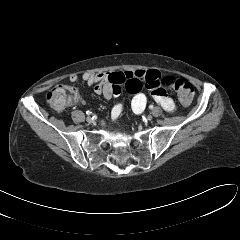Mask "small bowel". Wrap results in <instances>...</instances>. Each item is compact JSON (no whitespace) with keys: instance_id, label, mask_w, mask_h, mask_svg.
<instances>
[{"instance_id":"c3829d8e","label":"small bowel","mask_w":240,"mask_h":240,"mask_svg":"<svg viewBox=\"0 0 240 240\" xmlns=\"http://www.w3.org/2000/svg\"><path fill=\"white\" fill-rule=\"evenodd\" d=\"M165 77L156 69L124 72H85L82 74V79L87 84L94 85V92L108 100L119 96L121 85H125L126 90L133 95L131 108L135 114L142 113L147 104V97L141 91L142 88L149 90L152 98L166 111L172 112L175 109V103L166 91V87L169 86L164 83ZM69 80L76 82L79 80V75L73 73L69 76ZM71 88L73 89L71 103H80V95L75 88ZM122 111L123 104H115L111 111L112 119L117 120Z\"/></svg>"}]
</instances>
